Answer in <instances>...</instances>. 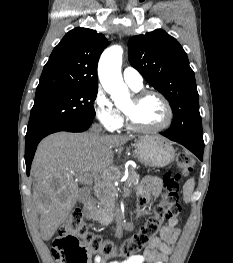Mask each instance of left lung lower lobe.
I'll list each match as a JSON object with an SVG mask.
<instances>
[{
  "label": "left lung lower lobe",
  "mask_w": 233,
  "mask_h": 263,
  "mask_svg": "<svg viewBox=\"0 0 233 263\" xmlns=\"http://www.w3.org/2000/svg\"><path fill=\"white\" fill-rule=\"evenodd\" d=\"M161 134L164 135L165 137L169 138L170 140L176 141V142L184 145L191 152H193L200 160H202L204 147L199 146V145H195L193 143H189V142L184 141V140H181L179 138H176L174 136H171V135L167 134L166 132L165 133H161Z\"/></svg>",
  "instance_id": "obj_1"
}]
</instances>
